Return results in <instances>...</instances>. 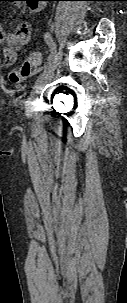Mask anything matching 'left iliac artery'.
Returning <instances> with one entry per match:
<instances>
[{
  "label": "left iliac artery",
  "instance_id": "left-iliac-artery-1",
  "mask_svg": "<svg viewBox=\"0 0 127 303\" xmlns=\"http://www.w3.org/2000/svg\"><path fill=\"white\" fill-rule=\"evenodd\" d=\"M45 42L47 43V45L49 46L50 48V54H49V57H48V61H47V64L45 65L44 67V71L49 69L51 66L54 65L55 63V60H56V47L53 43V39H52V36H51V33L50 32H47L45 34ZM35 87V85H34Z\"/></svg>",
  "mask_w": 127,
  "mask_h": 303
}]
</instances>
